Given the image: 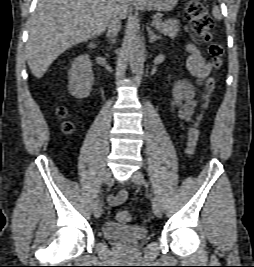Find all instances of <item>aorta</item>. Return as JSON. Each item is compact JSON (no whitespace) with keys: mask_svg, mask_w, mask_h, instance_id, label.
<instances>
[{"mask_svg":"<svg viewBox=\"0 0 254 267\" xmlns=\"http://www.w3.org/2000/svg\"><path fill=\"white\" fill-rule=\"evenodd\" d=\"M143 57V42L139 35L137 26L132 25L128 34V48L127 58L129 61L130 69L133 74L140 71L141 62Z\"/></svg>","mask_w":254,"mask_h":267,"instance_id":"obj_1","label":"aorta"}]
</instances>
